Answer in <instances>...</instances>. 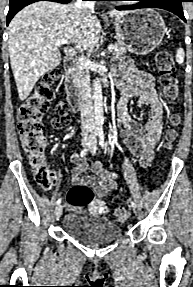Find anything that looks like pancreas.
<instances>
[{
  "label": "pancreas",
  "instance_id": "obj_1",
  "mask_svg": "<svg viewBox=\"0 0 193 287\" xmlns=\"http://www.w3.org/2000/svg\"><path fill=\"white\" fill-rule=\"evenodd\" d=\"M114 55L116 57L123 56L126 53V44L124 42L118 41L115 43Z\"/></svg>",
  "mask_w": 193,
  "mask_h": 287
}]
</instances>
